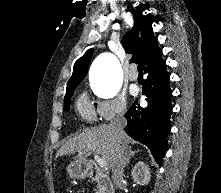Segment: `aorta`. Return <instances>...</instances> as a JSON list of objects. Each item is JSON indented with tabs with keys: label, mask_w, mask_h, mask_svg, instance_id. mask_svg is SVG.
I'll return each instance as SVG.
<instances>
[{
	"label": "aorta",
	"mask_w": 221,
	"mask_h": 193,
	"mask_svg": "<svg viewBox=\"0 0 221 193\" xmlns=\"http://www.w3.org/2000/svg\"><path fill=\"white\" fill-rule=\"evenodd\" d=\"M95 92L102 98L115 97L122 84V70L119 61L111 53L97 57L92 65Z\"/></svg>",
	"instance_id": "obj_1"
}]
</instances>
